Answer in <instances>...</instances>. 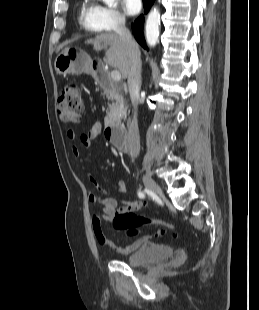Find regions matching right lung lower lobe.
<instances>
[{"label": "right lung lower lobe", "mask_w": 259, "mask_h": 310, "mask_svg": "<svg viewBox=\"0 0 259 310\" xmlns=\"http://www.w3.org/2000/svg\"><path fill=\"white\" fill-rule=\"evenodd\" d=\"M154 3V0H143V6L145 9V13L149 11L152 4ZM143 25H144V16L141 15L138 19L135 20V22L132 25V32L137 40V42L145 49L148 50V47L146 46V41L144 39L143 35Z\"/></svg>", "instance_id": "1"}]
</instances>
